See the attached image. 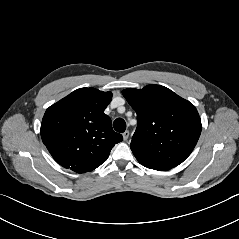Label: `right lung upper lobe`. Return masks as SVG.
I'll return each mask as SVG.
<instances>
[{
    "mask_svg": "<svg viewBox=\"0 0 239 239\" xmlns=\"http://www.w3.org/2000/svg\"><path fill=\"white\" fill-rule=\"evenodd\" d=\"M111 99V92L80 88L46 110L41 138L58 164L85 173L107 160L113 146L123 140L104 114Z\"/></svg>",
    "mask_w": 239,
    "mask_h": 239,
    "instance_id": "1",
    "label": "right lung upper lobe"
}]
</instances>
